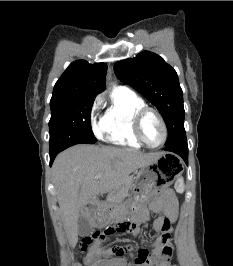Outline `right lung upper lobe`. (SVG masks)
Returning a JSON list of instances; mask_svg holds the SVG:
<instances>
[{"mask_svg": "<svg viewBox=\"0 0 233 266\" xmlns=\"http://www.w3.org/2000/svg\"><path fill=\"white\" fill-rule=\"evenodd\" d=\"M106 72L105 63L89 64L85 60H77L56 82L51 99L97 95L105 89Z\"/></svg>", "mask_w": 233, "mask_h": 266, "instance_id": "1", "label": "right lung upper lobe"}]
</instances>
